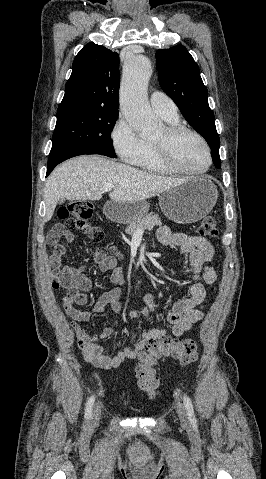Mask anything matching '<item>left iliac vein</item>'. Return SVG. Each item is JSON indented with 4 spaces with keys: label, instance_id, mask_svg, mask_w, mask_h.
Listing matches in <instances>:
<instances>
[{
    "label": "left iliac vein",
    "instance_id": "obj_1",
    "mask_svg": "<svg viewBox=\"0 0 266 479\" xmlns=\"http://www.w3.org/2000/svg\"><path fill=\"white\" fill-rule=\"evenodd\" d=\"M177 414L180 422L184 426L189 425V418L185 406L182 403L177 404Z\"/></svg>",
    "mask_w": 266,
    "mask_h": 479
}]
</instances>
